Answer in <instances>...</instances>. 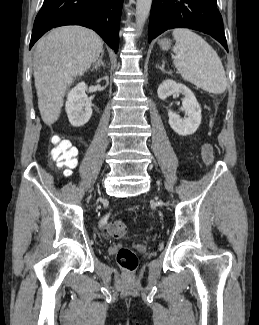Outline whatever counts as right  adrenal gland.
<instances>
[{"label": "right adrenal gland", "instance_id": "right-adrenal-gland-1", "mask_svg": "<svg viewBox=\"0 0 259 325\" xmlns=\"http://www.w3.org/2000/svg\"><path fill=\"white\" fill-rule=\"evenodd\" d=\"M103 55H104V52L102 51L101 56L99 57L98 61L92 65L91 71H94V70L97 71L100 66L105 67V65H104V63L102 61Z\"/></svg>", "mask_w": 259, "mask_h": 325}]
</instances>
